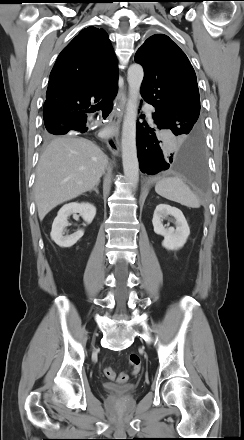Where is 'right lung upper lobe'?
Listing matches in <instances>:
<instances>
[{
	"instance_id": "obj_1",
	"label": "right lung upper lobe",
	"mask_w": 244,
	"mask_h": 440,
	"mask_svg": "<svg viewBox=\"0 0 244 440\" xmlns=\"http://www.w3.org/2000/svg\"><path fill=\"white\" fill-rule=\"evenodd\" d=\"M117 89V61L107 33L93 26L83 29L59 54L50 73L45 127L85 118L91 102L114 97Z\"/></svg>"
}]
</instances>
